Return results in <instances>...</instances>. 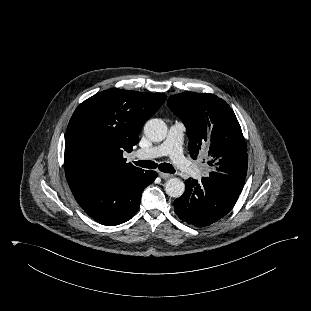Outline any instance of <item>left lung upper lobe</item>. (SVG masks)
Here are the masks:
<instances>
[{
    "instance_id": "1",
    "label": "left lung upper lobe",
    "mask_w": 311,
    "mask_h": 311,
    "mask_svg": "<svg viewBox=\"0 0 311 311\" xmlns=\"http://www.w3.org/2000/svg\"><path fill=\"white\" fill-rule=\"evenodd\" d=\"M168 106L187 129L193 159L203 150L212 167L209 178L240 194L248 155L239 122L222 99L213 94L184 92L169 97Z\"/></svg>"
}]
</instances>
